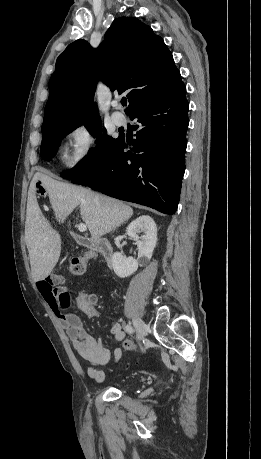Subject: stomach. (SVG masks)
Here are the masks:
<instances>
[{
    "label": "stomach",
    "instance_id": "1",
    "mask_svg": "<svg viewBox=\"0 0 261 459\" xmlns=\"http://www.w3.org/2000/svg\"><path fill=\"white\" fill-rule=\"evenodd\" d=\"M35 193L37 195H46L47 194V191L45 189V187L42 185L41 181L38 180L35 184Z\"/></svg>",
    "mask_w": 261,
    "mask_h": 459
}]
</instances>
